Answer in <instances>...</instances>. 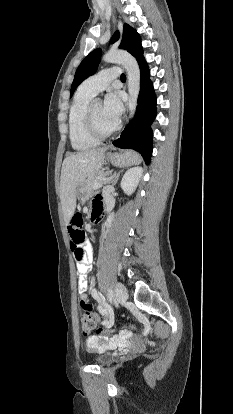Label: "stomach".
Listing matches in <instances>:
<instances>
[{"label": "stomach", "instance_id": "1", "mask_svg": "<svg viewBox=\"0 0 233 414\" xmlns=\"http://www.w3.org/2000/svg\"><path fill=\"white\" fill-rule=\"evenodd\" d=\"M106 160L112 163L114 166H127L134 162V157L131 154L123 153H107ZM76 196L81 202H85L89 198V193L85 182H82L76 191Z\"/></svg>", "mask_w": 233, "mask_h": 414}]
</instances>
